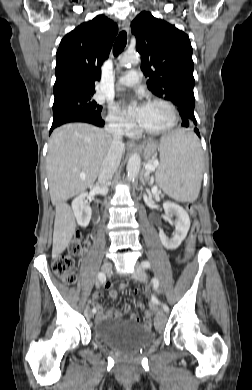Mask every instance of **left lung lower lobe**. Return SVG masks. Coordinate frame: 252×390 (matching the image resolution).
Instances as JSON below:
<instances>
[{"label": "left lung lower lobe", "mask_w": 252, "mask_h": 390, "mask_svg": "<svg viewBox=\"0 0 252 390\" xmlns=\"http://www.w3.org/2000/svg\"><path fill=\"white\" fill-rule=\"evenodd\" d=\"M181 117H182V126L193 129L196 132V134L200 136L199 130L196 128L197 122L195 116L190 113H182Z\"/></svg>", "instance_id": "0a47b994"}]
</instances>
